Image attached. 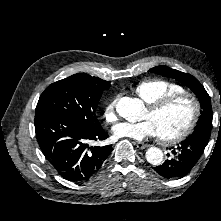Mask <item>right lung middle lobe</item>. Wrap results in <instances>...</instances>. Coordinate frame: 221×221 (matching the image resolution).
I'll use <instances>...</instances> for the list:
<instances>
[{
	"label": "right lung middle lobe",
	"instance_id": "1",
	"mask_svg": "<svg viewBox=\"0 0 221 221\" xmlns=\"http://www.w3.org/2000/svg\"><path fill=\"white\" fill-rule=\"evenodd\" d=\"M110 87L87 75L75 74L52 83L41 94L36 109H48L86 128L101 127L96 109Z\"/></svg>",
	"mask_w": 221,
	"mask_h": 221
}]
</instances>
